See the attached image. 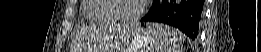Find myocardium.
I'll list each match as a JSON object with an SVG mask.
<instances>
[{"label":"myocardium","instance_id":"myocardium-1","mask_svg":"<svg viewBox=\"0 0 261 52\" xmlns=\"http://www.w3.org/2000/svg\"><path fill=\"white\" fill-rule=\"evenodd\" d=\"M116 1H118V0H109V2H108V9L111 12V16H112L114 23L132 24V23L137 22L143 16V14L145 13L146 1L141 0L140 8L138 9V11L134 15L127 17V18L126 17H116L113 14L114 10H115V2Z\"/></svg>","mask_w":261,"mask_h":52}]
</instances>
